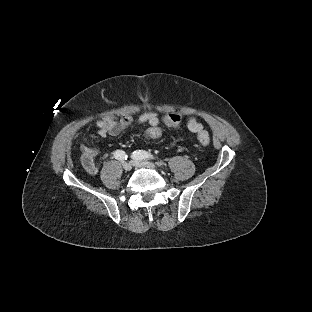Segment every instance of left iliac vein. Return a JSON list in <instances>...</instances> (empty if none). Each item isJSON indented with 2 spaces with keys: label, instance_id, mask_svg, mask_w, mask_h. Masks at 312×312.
I'll list each match as a JSON object with an SVG mask.
<instances>
[{
  "label": "left iliac vein",
  "instance_id": "left-iliac-vein-1",
  "mask_svg": "<svg viewBox=\"0 0 312 312\" xmlns=\"http://www.w3.org/2000/svg\"><path fill=\"white\" fill-rule=\"evenodd\" d=\"M132 164L135 166V167H139V168H142V167H146V168H155L156 165L152 162H148V161H141L139 159H133L132 160Z\"/></svg>",
  "mask_w": 312,
  "mask_h": 312
}]
</instances>
